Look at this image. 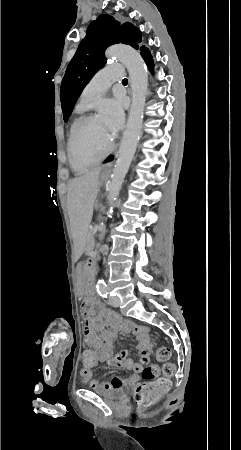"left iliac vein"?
<instances>
[{"instance_id": "obj_1", "label": "left iliac vein", "mask_w": 241, "mask_h": 450, "mask_svg": "<svg viewBox=\"0 0 241 450\" xmlns=\"http://www.w3.org/2000/svg\"><path fill=\"white\" fill-rule=\"evenodd\" d=\"M108 302L113 307H119V305H120V300H119L118 297L110 296L109 299H108Z\"/></svg>"}]
</instances>
